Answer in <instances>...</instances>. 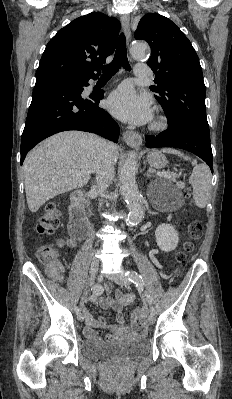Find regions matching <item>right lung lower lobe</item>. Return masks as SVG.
<instances>
[{
  "label": "right lung lower lobe",
  "instance_id": "1",
  "mask_svg": "<svg viewBox=\"0 0 232 399\" xmlns=\"http://www.w3.org/2000/svg\"><path fill=\"white\" fill-rule=\"evenodd\" d=\"M92 77L52 76L36 78L32 102L21 138V164L29 150L43 139L66 130L96 133L115 143L120 128L98 104L104 92L84 95Z\"/></svg>",
  "mask_w": 232,
  "mask_h": 399
}]
</instances>
